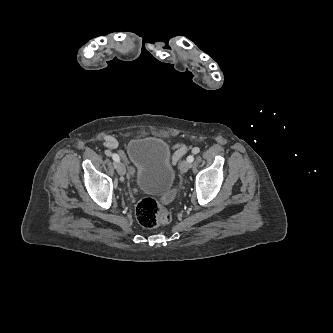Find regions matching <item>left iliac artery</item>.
Instances as JSON below:
<instances>
[{"label": "left iliac artery", "instance_id": "44dca946", "mask_svg": "<svg viewBox=\"0 0 333 333\" xmlns=\"http://www.w3.org/2000/svg\"><path fill=\"white\" fill-rule=\"evenodd\" d=\"M187 161L188 162H193L194 161V157H193V155H189L188 157H187Z\"/></svg>", "mask_w": 333, "mask_h": 333}]
</instances>
